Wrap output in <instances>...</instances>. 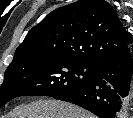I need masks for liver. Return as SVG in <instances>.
<instances>
[{"label": "liver", "mask_w": 133, "mask_h": 118, "mask_svg": "<svg viewBox=\"0 0 133 118\" xmlns=\"http://www.w3.org/2000/svg\"><path fill=\"white\" fill-rule=\"evenodd\" d=\"M11 118H95L83 108L68 102L38 100L14 108Z\"/></svg>", "instance_id": "liver-1"}]
</instances>
